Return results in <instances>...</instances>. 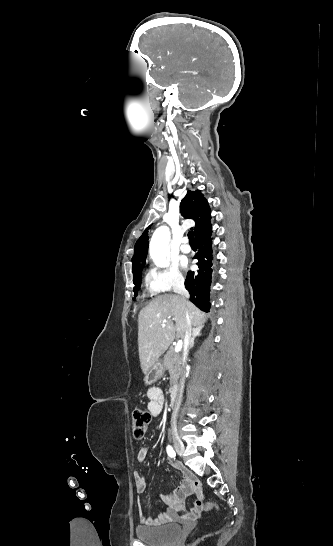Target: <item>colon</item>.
Returning a JSON list of instances; mask_svg holds the SVG:
<instances>
[{
	"instance_id": "obj_1",
	"label": "colon",
	"mask_w": 333,
	"mask_h": 546,
	"mask_svg": "<svg viewBox=\"0 0 333 546\" xmlns=\"http://www.w3.org/2000/svg\"><path fill=\"white\" fill-rule=\"evenodd\" d=\"M151 421V415L144 410H135L132 415V432L136 439L144 437L149 423ZM217 508V505L211 501L205 503V509L211 510Z\"/></svg>"
}]
</instances>
